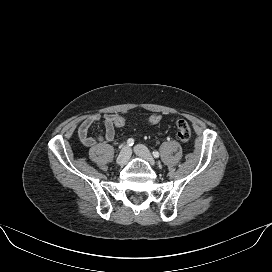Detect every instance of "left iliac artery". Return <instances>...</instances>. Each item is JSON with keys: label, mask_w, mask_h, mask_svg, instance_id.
Here are the masks:
<instances>
[{"label": "left iliac artery", "mask_w": 272, "mask_h": 272, "mask_svg": "<svg viewBox=\"0 0 272 272\" xmlns=\"http://www.w3.org/2000/svg\"><path fill=\"white\" fill-rule=\"evenodd\" d=\"M153 156H154L155 158H158V157H159V152H158V151H153Z\"/></svg>", "instance_id": "1"}]
</instances>
